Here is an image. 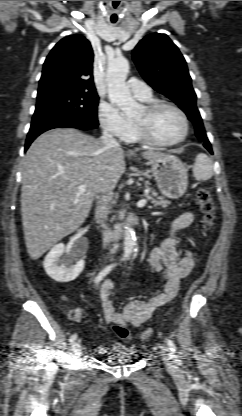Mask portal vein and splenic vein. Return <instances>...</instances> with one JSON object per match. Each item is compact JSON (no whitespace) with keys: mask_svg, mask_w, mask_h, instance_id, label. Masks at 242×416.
Masks as SVG:
<instances>
[{"mask_svg":"<svg viewBox=\"0 0 242 416\" xmlns=\"http://www.w3.org/2000/svg\"><path fill=\"white\" fill-rule=\"evenodd\" d=\"M86 190H87V188H86L84 185H80V186L78 187V191H79V193H83V192H85ZM146 203H147V200H146V199H141V200H139V201H138L137 206H138V207H143Z\"/></svg>","mask_w":242,"mask_h":416,"instance_id":"portal-vein-and-splenic-vein-1","label":"portal vein and splenic vein"}]
</instances>
